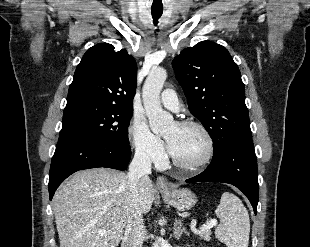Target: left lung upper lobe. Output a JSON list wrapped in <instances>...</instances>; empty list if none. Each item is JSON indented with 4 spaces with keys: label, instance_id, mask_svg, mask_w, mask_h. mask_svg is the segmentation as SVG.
Segmentation results:
<instances>
[{
    "label": "left lung upper lobe",
    "instance_id": "1",
    "mask_svg": "<svg viewBox=\"0 0 310 247\" xmlns=\"http://www.w3.org/2000/svg\"><path fill=\"white\" fill-rule=\"evenodd\" d=\"M172 66L190 112L203 123L214 142L213 156L251 139L244 84L225 47L199 42L181 51Z\"/></svg>",
    "mask_w": 310,
    "mask_h": 247
}]
</instances>
